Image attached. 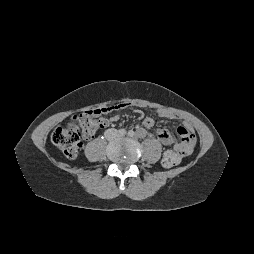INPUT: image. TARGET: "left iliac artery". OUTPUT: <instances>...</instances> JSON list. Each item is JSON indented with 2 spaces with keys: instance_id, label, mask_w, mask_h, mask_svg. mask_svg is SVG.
Masks as SVG:
<instances>
[{
  "instance_id": "44dca946",
  "label": "left iliac artery",
  "mask_w": 254,
  "mask_h": 254,
  "mask_svg": "<svg viewBox=\"0 0 254 254\" xmlns=\"http://www.w3.org/2000/svg\"><path fill=\"white\" fill-rule=\"evenodd\" d=\"M128 135H129L130 137H133V136L135 135V132H134L133 130H130V131L128 132Z\"/></svg>"
}]
</instances>
